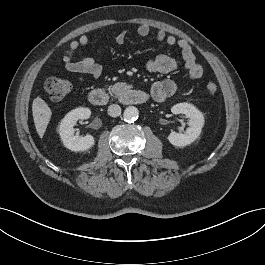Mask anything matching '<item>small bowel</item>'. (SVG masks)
Masks as SVG:
<instances>
[{"label": "small bowel", "instance_id": "obj_1", "mask_svg": "<svg viewBox=\"0 0 265 265\" xmlns=\"http://www.w3.org/2000/svg\"><path fill=\"white\" fill-rule=\"evenodd\" d=\"M151 33V28L147 24H142L137 29V34L140 37H147ZM155 37L158 41L165 42L169 46H177L180 49L181 56L184 62V67L187 71L189 80H197L203 75V67L197 62L195 54L184 39H177L175 36L168 35L164 30L159 29ZM127 38V31L123 30L114 38L117 44H122ZM89 38L87 35H81L77 39L70 42L67 50L62 55V60L65 69L70 73L79 74L77 77L79 82L86 81V75L93 79L100 77L102 66L95 58L84 56L78 61L73 58L76 52L88 45ZM145 67L149 72L153 73H169L177 69L178 63L175 58L168 55H159L155 58L148 59L145 62ZM179 85L172 80H163L156 82L151 88V96L157 102H163L167 98L173 96L178 91Z\"/></svg>", "mask_w": 265, "mask_h": 265}]
</instances>
